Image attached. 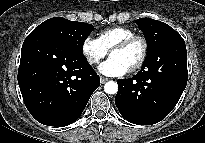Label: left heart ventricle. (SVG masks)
Here are the masks:
<instances>
[{
  "mask_svg": "<svg viewBox=\"0 0 205 143\" xmlns=\"http://www.w3.org/2000/svg\"><path fill=\"white\" fill-rule=\"evenodd\" d=\"M141 45L136 42L124 50H117L111 53V57L118 59L129 69L138 61L141 55Z\"/></svg>",
  "mask_w": 205,
  "mask_h": 143,
  "instance_id": "b2bd125f",
  "label": "left heart ventricle"
}]
</instances>
